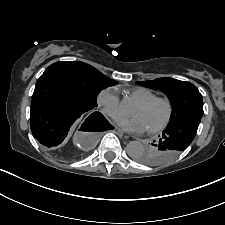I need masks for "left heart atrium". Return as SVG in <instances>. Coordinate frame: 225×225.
Here are the masks:
<instances>
[{
  "label": "left heart atrium",
  "instance_id": "1",
  "mask_svg": "<svg viewBox=\"0 0 225 225\" xmlns=\"http://www.w3.org/2000/svg\"><path fill=\"white\" fill-rule=\"evenodd\" d=\"M116 122L120 127L129 132L141 133L147 130L144 121L138 116H119Z\"/></svg>",
  "mask_w": 225,
  "mask_h": 225
}]
</instances>
